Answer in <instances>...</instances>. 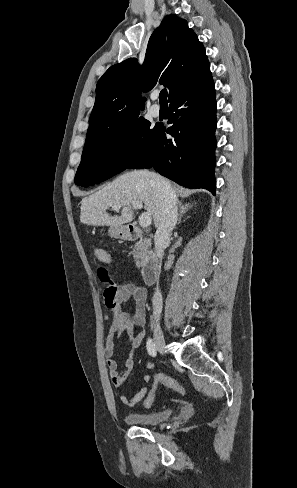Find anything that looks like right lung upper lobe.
<instances>
[{"label": "right lung upper lobe", "instance_id": "1", "mask_svg": "<svg viewBox=\"0 0 297 488\" xmlns=\"http://www.w3.org/2000/svg\"><path fill=\"white\" fill-rule=\"evenodd\" d=\"M210 74L204 46L187 22L174 14L166 16L149 39L142 66L129 58L111 66L98 81L87 137L140 118L145 101L141 91L157 82L169 89L170 102Z\"/></svg>", "mask_w": 297, "mask_h": 488}]
</instances>
